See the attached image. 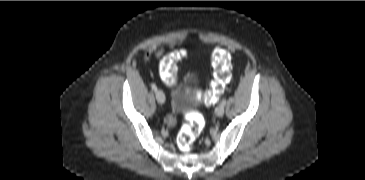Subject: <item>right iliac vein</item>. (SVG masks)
I'll use <instances>...</instances> for the list:
<instances>
[{"label":"right iliac vein","instance_id":"1","mask_svg":"<svg viewBox=\"0 0 365 180\" xmlns=\"http://www.w3.org/2000/svg\"><path fill=\"white\" fill-rule=\"evenodd\" d=\"M156 99H157L159 104H164L165 103V95L161 90L156 91Z\"/></svg>","mask_w":365,"mask_h":180}]
</instances>
